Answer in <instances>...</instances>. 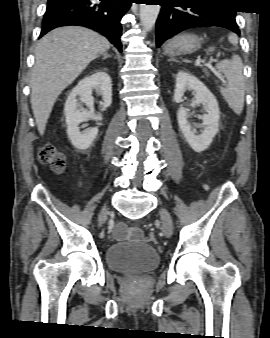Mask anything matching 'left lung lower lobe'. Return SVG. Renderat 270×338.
<instances>
[{
  "mask_svg": "<svg viewBox=\"0 0 270 338\" xmlns=\"http://www.w3.org/2000/svg\"><path fill=\"white\" fill-rule=\"evenodd\" d=\"M156 2L162 6L156 22L157 47L186 29L199 26H218L240 34L235 21L236 11L228 8L225 0H156Z\"/></svg>",
  "mask_w": 270,
  "mask_h": 338,
  "instance_id": "obj_1",
  "label": "left lung lower lobe"
}]
</instances>
